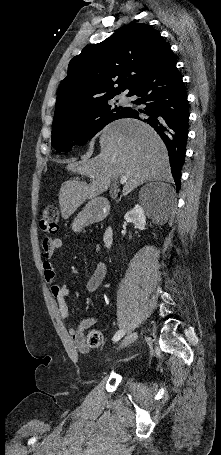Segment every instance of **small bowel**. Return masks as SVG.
<instances>
[{
  "instance_id": "small-bowel-1",
  "label": "small bowel",
  "mask_w": 221,
  "mask_h": 455,
  "mask_svg": "<svg viewBox=\"0 0 221 455\" xmlns=\"http://www.w3.org/2000/svg\"><path fill=\"white\" fill-rule=\"evenodd\" d=\"M63 241L60 238H46L43 241V261H42V270L44 280L49 284L50 291L55 297L58 305V311L60 317L64 320L69 318V310L66 305V298L70 293V286L67 283L57 284L55 280V270L51 262V258L55 252L62 246ZM97 252L101 255V249L99 246L96 247ZM106 275V266L103 262H100L87 283V288L89 291H95ZM80 292H75V296L79 297ZM91 325V320H83L78 327L72 326L69 328L68 332L72 337L76 347L81 353L88 352V347L85 342L84 330Z\"/></svg>"
}]
</instances>
